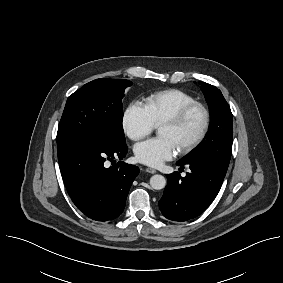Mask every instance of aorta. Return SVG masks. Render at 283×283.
Instances as JSON below:
<instances>
[{"label":"aorta","mask_w":283,"mask_h":283,"mask_svg":"<svg viewBox=\"0 0 283 283\" xmlns=\"http://www.w3.org/2000/svg\"><path fill=\"white\" fill-rule=\"evenodd\" d=\"M150 186L155 190H161L166 186V179L164 176L156 174L150 178Z\"/></svg>","instance_id":"762f6f07"}]
</instances>
